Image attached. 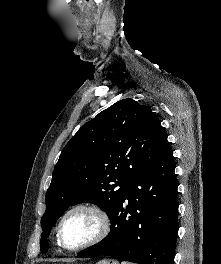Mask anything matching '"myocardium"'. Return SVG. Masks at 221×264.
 <instances>
[{"label":"myocardium","instance_id":"1","mask_svg":"<svg viewBox=\"0 0 221 264\" xmlns=\"http://www.w3.org/2000/svg\"><path fill=\"white\" fill-rule=\"evenodd\" d=\"M78 211H86V212L93 214L98 220L99 228H98L97 234L92 239L87 241L86 243L81 244L76 247H69L63 241L62 228H63V224L66 221V219L71 214L78 212ZM110 229H111V219H110L109 214L103 207L95 203H79V204L72 206L70 209H68L64 213L62 218L60 219V222L57 227V241L62 248L68 251H73V252L80 251V250L89 248L99 243L100 241H102L109 234Z\"/></svg>","mask_w":221,"mask_h":264}]
</instances>
